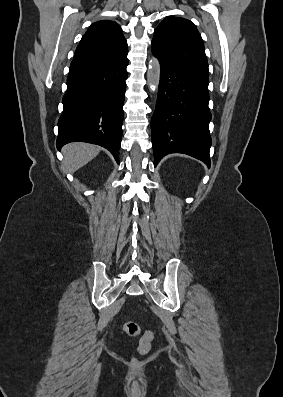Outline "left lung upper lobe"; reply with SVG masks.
Masks as SVG:
<instances>
[{"mask_svg": "<svg viewBox=\"0 0 283 397\" xmlns=\"http://www.w3.org/2000/svg\"><path fill=\"white\" fill-rule=\"evenodd\" d=\"M151 46L180 62L186 68L209 79L203 40L196 26L181 17H167L155 29Z\"/></svg>", "mask_w": 283, "mask_h": 397, "instance_id": "obj_1", "label": "left lung upper lobe"}]
</instances>
